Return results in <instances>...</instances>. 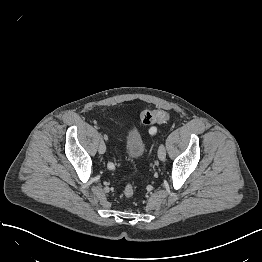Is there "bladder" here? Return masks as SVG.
I'll list each match as a JSON object with an SVG mask.
<instances>
[{"label": "bladder", "instance_id": "1", "mask_svg": "<svg viewBox=\"0 0 262 262\" xmlns=\"http://www.w3.org/2000/svg\"><path fill=\"white\" fill-rule=\"evenodd\" d=\"M147 148L144 134L137 129H128L125 133V150L131 160L140 159Z\"/></svg>", "mask_w": 262, "mask_h": 262}]
</instances>
